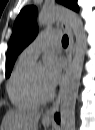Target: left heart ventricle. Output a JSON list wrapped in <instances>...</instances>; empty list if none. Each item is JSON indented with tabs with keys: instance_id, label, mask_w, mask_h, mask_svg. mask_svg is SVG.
<instances>
[{
	"instance_id": "b2bd125f",
	"label": "left heart ventricle",
	"mask_w": 95,
	"mask_h": 130,
	"mask_svg": "<svg viewBox=\"0 0 95 130\" xmlns=\"http://www.w3.org/2000/svg\"><path fill=\"white\" fill-rule=\"evenodd\" d=\"M32 78L43 93H47L51 90L45 85L44 74L42 72L34 75Z\"/></svg>"
}]
</instances>
